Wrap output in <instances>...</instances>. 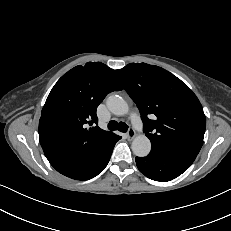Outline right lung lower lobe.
<instances>
[{"label": "right lung lower lobe", "instance_id": "obj_1", "mask_svg": "<svg viewBox=\"0 0 231 231\" xmlns=\"http://www.w3.org/2000/svg\"><path fill=\"white\" fill-rule=\"evenodd\" d=\"M119 139L120 136H113L93 157L60 173L76 180H89L97 176L107 166Z\"/></svg>", "mask_w": 231, "mask_h": 231}]
</instances>
